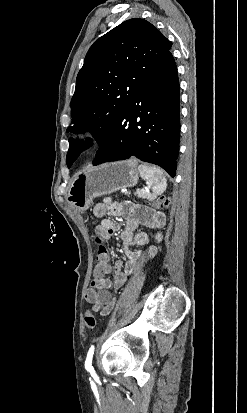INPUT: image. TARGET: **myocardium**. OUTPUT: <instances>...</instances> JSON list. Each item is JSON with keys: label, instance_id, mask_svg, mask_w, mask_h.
<instances>
[{"label": "myocardium", "instance_id": "obj_1", "mask_svg": "<svg viewBox=\"0 0 247 413\" xmlns=\"http://www.w3.org/2000/svg\"><path fill=\"white\" fill-rule=\"evenodd\" d=\"M95 146V139L92 136H86L82 140V147L84 150H91Z\"/></svg>", "mask_w": 247, "mask_h": 413}]
</instances>
